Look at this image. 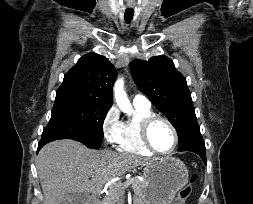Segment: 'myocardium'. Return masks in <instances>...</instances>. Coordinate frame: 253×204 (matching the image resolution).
Listing matches in <instances>:
<instances>
[{"instance_id": "obj_1", "label": "myocardium", "mask_w": 253, "mask_h": 204, "mask_svg": "<svg viewBox=\"0 0 253 204\" xmlns=\"http://www.w3.org/2000/svg\"><path fill=\"white\" fill-rule=\"evenodd\" d=\"M156 121L165 122L173 134L174 142H173V145L169 151H166V152L159 151L151 143L149 131H150V128L153 125V123H155ZM140 136H141V140H142L143 144L145 145V147L148 150H150L152 153L162 155V156L172 155L175 152V150L177 149V146L179 143L178 132H177L175 126L173 125V123L168 118L161 116V115H156V114H153V115L145 118L142 121L141 126H140Z\"/></svg>"}]
</instances>
